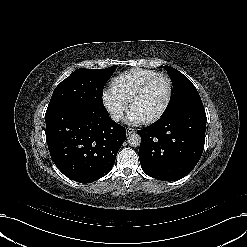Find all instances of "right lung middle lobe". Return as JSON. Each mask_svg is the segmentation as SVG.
I'll use <instances>...</instances> for the list:
<instances>
[{
  "label": "right lung middle lobe",
  "instance_id": "obj_1",
  "mask_svg": "<svg viewBox=\"0 0 247 247\" xmlns=\"http://www.w3.org/2000/svg\"><path fill=\"white\" fill-rule=\"evenodd\" d=\"M116 67L77 69L55 88L47 110L62 105H103L104 85Z\"/></svg>",
  "mask_w": 247,
  "mask_h": 247
}]
</instances>
